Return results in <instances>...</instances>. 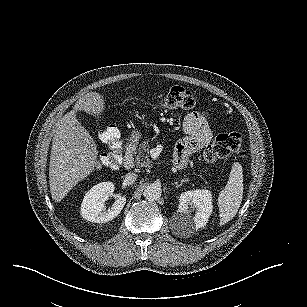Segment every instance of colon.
Masks as SVG:
<instances>
[{
	"label": "colon",
	"mask_w": 307,
	"mask_h": 307,
	"mask_svg": "<svg viewBox=\"0 0 307 307\" xmlns=\"http://www.w3.org/2000/svg\"><path fill=\"white\" fill-rule=\"evenodd\" d=\"M196 105L193 93L181 86L170 88L160 99V106L168 109L189 110ZM102 141L109 151L99 158V166L115 167L121 160V140L119 131L115 127H109L101 133ZM236 153L245 157L247 152L243 146L241 136L238 133L218 134L213 142L204 151V159L207 162L226 157Z\"/></svg>",
	"instance_id": "5ec220e1"
}]
</instances>
